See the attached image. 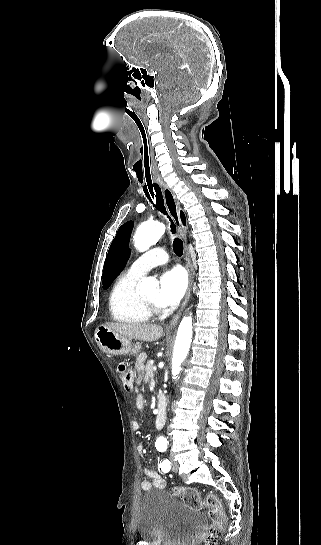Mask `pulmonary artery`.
<instances>
[{"mask_svg": "<svg viewBox=\"0 0 321 545\" xmlns=\"http://www.w3.org/2000/svg\"><path fill=\"white\" fill-rule=\"evenodd\" d=\"M167 257L166 250L151 248L138 256L129 266L128 271L137 277H142L152 267L166 263L168 261Z\"/></svg>", "mask_w": 321, "mask_h": 545, "instance_id": "1", "label": "pulmonary artery"}]
</instances>
